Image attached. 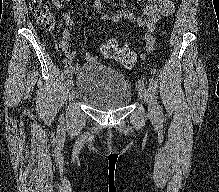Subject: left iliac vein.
I'll return each mask as SVG.
<instances>
[{"mask_svg": "<svg viewBox=\"0 0 219 192\" xmlns=\"http://www.w3.org/2000/svg\"><path fill=\"white\" fill-rule=\"evenodd\" d=\"M138 94L139 97L148 104L149 116L154 117L157 115L156 102L153 93L150 89L145 87L144 83H138Z\"/></svg>", "mask_w": 219, "mask_h": 192, "instance_id": "left-iliac-vein-1", "label": "left iliac vein"}]
</instances>
